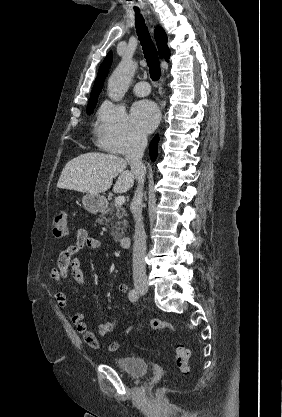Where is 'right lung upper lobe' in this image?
I'll list each match as a JSON object with an SVG mask.
<instances>
[{
	"label": "right lung upper lobe",
	"mask_w": 282,
	"mask_h": 417,
	"mask_svg": "<svg viewBox=\"0 0 282 417\" xmlns=\"http://www.w3.org/2000/svg\"><path fill=\"white\" fill-rule=\"evenodd\" d=\"M155 40L157 42L160 58L168 59L170 51L167 46V35L161 27L155 29ZM112 63V52H109L105 57L103 63L100 65L97 78L95 80L90 96L99 95L103 87L105 77Z\"/></svg>",
	"instance_id": "1"
}]
</instances>
